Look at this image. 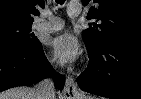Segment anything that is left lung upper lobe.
<instances>
[{
	"mask_svg": "<svg viewBox=\"0 0 141 99\" xmlns=\"http://www.w3.org/2000/svg\"><path fill=\"white\" fill-rule=\"evenodd\" d=\"M90 0H82L87 5ZM87 18L96 19L83 31L88 48L97 50L115 41L141 42L140 0H94ZM91 25V24H90Z\"/></svg>",
	"mask_w": 141,
	"mask_h": 99,
	"instance_id": "obj_1",
	"label": "left lung upper lobe"
}]
</instances>
